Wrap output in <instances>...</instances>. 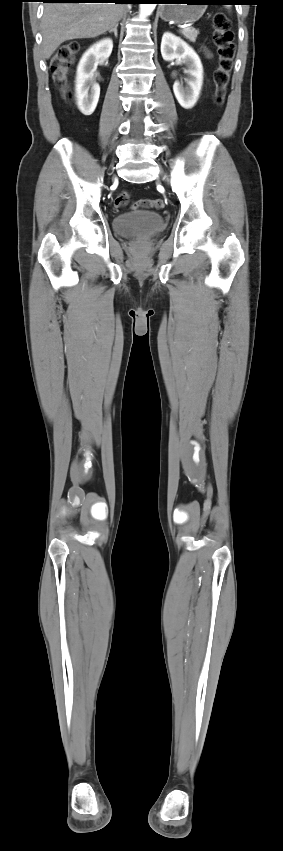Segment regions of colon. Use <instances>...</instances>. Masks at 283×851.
<instances>
[{"label":"colon","mask_w":283,"mask_h":851,"mask_svg":"<svg viewBox=\"0 0 283 851\" xmlns=\"http://www.w3.org/2000/svg\"><path fill=\"white\" fill-rule=\"evenodd\" d=\"M212 27V39L218 54V67L214 75V103L220 106L224 103L226 97L227 86L229 84L230 74L236 54V47L234 44V34L232 31L231 21L224 13L219 12L215 14L212 21ZM79 50L80 44L76 41H72L60 46L51 58L49 67L53 78L57 82L64 83L66 81L70 65L73 63ZM115 206L118 209L138 206L161 209L164 207V200L158 198L142 199L138 202H132L129 192L122 191L115 198Z\"/></svg>","instance_id":"1"}]
</instances>
